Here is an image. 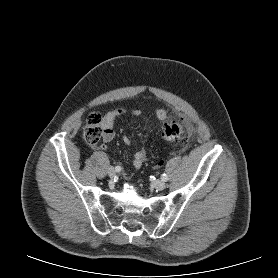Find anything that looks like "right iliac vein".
<instances>
[{
  "label": "right iliac vein",
  "mask_w": 278,
  "mask_h": 278,
  "mask_svg": "<svg viewBox=\"0 0 278 278\" xmlns=\"http://www.w3.org/2000/svg\"><path fill=\"white\" fill-rule=\"evenodd\" d=\"M107 173H108L110 178H113L116 174V170L113 167H110V168H108Z\"/></svg>",
  "instance_id": "right-iliac-vein-1"
}]
</instances>
